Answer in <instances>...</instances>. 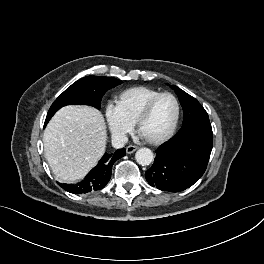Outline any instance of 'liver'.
I'll return each instance as SVG.
<instances>
[{"instance_id":"1","label":"liver","mask_w":264,"mask_h":264,"mask_svg":"<svg viewBox=\"0 0 264 264\" xmlns=\"http://www.w3.org/2000/svg\"><path fill=\"white\" fill-rule=\"evenodd\" d=\"M103 115L89 106L61 108L48 123L43 137L46 159L54 175L74 183L97 164L106 148Z\"/></svg>"}]
</instances>
